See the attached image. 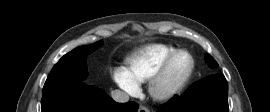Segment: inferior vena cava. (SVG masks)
Here are the masks:
<instances>
[{
    "label": "inferior vena cava",
    "instance_id": "602c4592",
    "mask_svg": "<svg viewBox=\"0 0 270 112\" xmlns=\"http://www.w3.org/2000/svg\"><path fill=\"white\" fill-rule=\"evenodd\" d=\"M111 97L114 101L119 103H125L129 101V95L120 90H114L111 92Z\"/></svg>",
    "mask_w": 270,
    "mask_h": 112
}]
</instances>
